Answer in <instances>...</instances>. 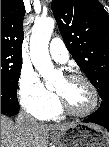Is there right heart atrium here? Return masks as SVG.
Wrapping results in <instances>:
<instances>
[{
  "label": "right heart atrium",
  "instance_id": "1",
  "mask_svg": "<svg viewBox=\"0 0 109 147\" xmlns=\"http://www.w3.org/2000/svg\"><path fill=\"white\" fill-rule=\"evenodd\" d=\"M18 97L21 105L34 115L52 108L57 102L56 95L46 89L33 71L26 67L20 72Z\"/></svg>",
  "mask_w": 109,
  "mask_h": 147
}]
</instances>
